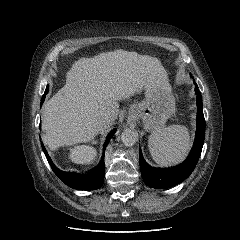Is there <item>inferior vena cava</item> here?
<instances>
[{"label": "inferior vena cava", "instance_id": "obj_1", "mask_svg": "<svg viewBox=\"0 0 240 240\" xmlns=\"http://www.w3.org/2000/svg\"><path fill=\"white\" fill-rule=\"evenodd\" d=\"M110 116L107 114H103L102 117L98 120V128L102 129L110 123Z\"/></svg>", "mask_w": 240, "mask_h": 240}]
</instances>
